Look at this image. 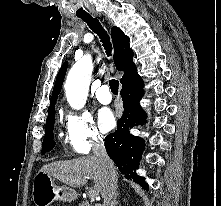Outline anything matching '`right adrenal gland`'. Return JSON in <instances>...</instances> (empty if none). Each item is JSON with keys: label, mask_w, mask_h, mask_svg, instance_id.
<instances>
[{"label": "right adrenal gland", "mask_w": 221, "mask_h": 206, "mask_svg": "<svg viewBox=\"0 0 221 206\" xmlns=\"http://www.w3.org/2000/svg\"><path fill=\"white\" fill-rule=\"evenodd\" d=\"M117 197H118V192H116L115 196H114V199L111 203L110 206H117L120 202L117 200Z\"/></svg>", "instance_id": "obj_1"}]
</instances>
